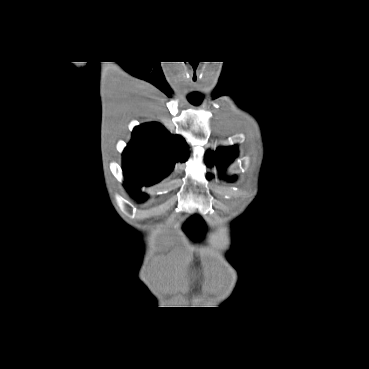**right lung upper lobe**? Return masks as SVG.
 Wrapping results in <instances>:
<instances>
[{"mask_svg": "<svg viewBox=\"0 0 369 369\" xmlns=\"http://www.w3.org/2000/svg\"><path fill=\"white\" fill-rule=\"evenodd\" d=\"M189 150L181 136H174L157 122L137 126L132 140L123 152L126 188L136 194L141 186L161 181L176 162H185Z\"/></svg>", "mask_w": 369, "mask_h": 369, "instance_id": "cb5924a9", "label": "right lung upper lobe"}]
</instances>
